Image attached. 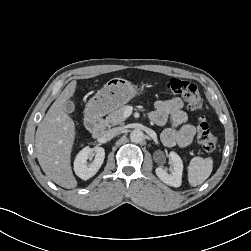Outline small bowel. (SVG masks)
Returning a JSON list of instances; mask_svg holds the SVG:
<instances>
[{"mask_svg":"<svg viewBox=\"0 0 251 251\" xmlns=\"http://www.w3.org/2000/svg\"><path fill=\"white\" fill-rule=\"evenodd\" d=\"M183 101L180 98L169 100H158L155 102V110L150 113L149 118L159 126L170 123L172 127L162 132L161 139L165 146L186 147L195 135V127L188 123V117L183 110Z\"/></svg>","mask_w":251,"mask_h":251,"instance_id":"1","label":"small bowel"}]
</instances>
